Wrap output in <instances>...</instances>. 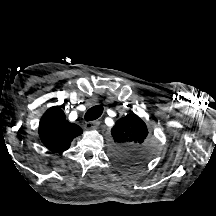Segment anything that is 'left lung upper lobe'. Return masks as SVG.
I'll return each mask as SVG.
<instances>
[{
	"label": "left lung upper lobe",
	"mask_w": 216,
	"mask_h": 216,
	"mask_svg": "<svg viewBox=\"0 0 216 216\" xmlns=\"http://www.w3.org/2000/svg\"><path fill=\"white\" fill-rule=\"evenodd\" d=\"M112 159L123 169L132 170L151 159L154 144L145 122L131 113L118 119L111 129Z\"/></svg>",
	"instance_id": "obj_1"
}]
</instances>
